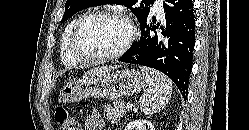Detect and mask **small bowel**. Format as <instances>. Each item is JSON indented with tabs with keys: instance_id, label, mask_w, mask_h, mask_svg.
<instances>
[{
	"instance_id": "1",
	"label": "small bowel",
	"mask_w": 249,
	"mask_h": 130,
	"mask_svg": "<svg viewBox=\"0 0 249 130\" xmlns=\"http://www.w3.org/2000/svg\"><path fill=\"white\" fill-rule=\"evenodd\" d=\"M104 121L97 110H93L85 119V130H103Z\"/></svg>"
}]
</instances>
